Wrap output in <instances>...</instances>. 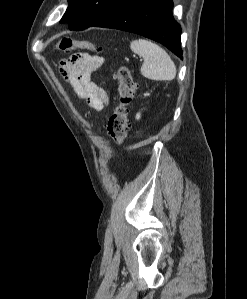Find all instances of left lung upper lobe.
I'll use <instances>...</instances> for the list:
<instances>
[{
	"mask_svg": "<svg viewBox=\"0 0 247 299\" xmlns=\"http://www.w3.org/2000/svg\"><path fill=\"white\" fill-rule=\"evenodd\" d=\"M69 6L60 23H68L73 30H84L123 0H68Z\"/></svg>",
	"mask_w": 247,
	"mask_h": 299,
	"instance_id": "obj_1",
	"label": "left lung upper lobe"
}]
</instances>
